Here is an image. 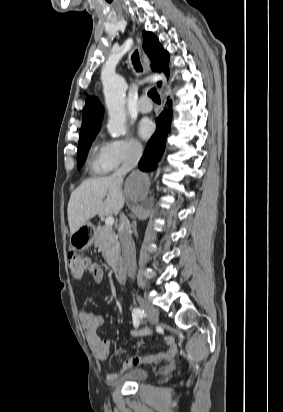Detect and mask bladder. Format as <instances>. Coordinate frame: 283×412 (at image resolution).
Instances as JSON below:
<instances>
[{
  "label": "bladder",
  "instance_id": "31cf9c89",
  "mask_svg": "<svg viewBox=\"0 0 283 412\" xmlns=\"http://www.w3.org/2000/svg\"><path fill=\"white\" fill-rule=\"evenodd\" d=\"M148 376V370L142 367H137L132 370L126 371L120 375L112 377L113 383H140L146 380Z\"/></svg>",
  "mask_w": 283,
  "mask_h": 412
}]
</instances>
